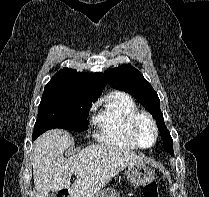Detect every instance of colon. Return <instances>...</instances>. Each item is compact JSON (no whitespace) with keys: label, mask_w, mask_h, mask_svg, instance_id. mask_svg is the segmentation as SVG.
Masks as SVG:
<instances>
[{"label":"colon","mask_w":209,"mask_h":197,"mask_svg":"<svg viewBox=\"0 0 209 197\" xmlns=\"http://www.w3.org/2000/svg\"><path fill=\"white\" fill-rule=\"evenodd\" d=\"M57 197H69L66 192H60ZM143 197H159L158 186L156 182H150L143 188Z\"/></svg>","instance_id":"colon-1"}]
</instances>
